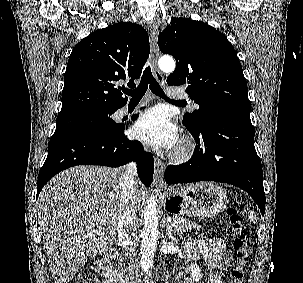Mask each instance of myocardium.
<instances>
[{
    "mask_svg": "<svg viewBox=\"0 0 303 283\" xmlns=\"http://www.w3.org/2000/svg\"><path fill=\"white\" fill-rule=\"evenodd\" d=\"M193 143L190 140L183 141L173 152L172 159L177 163L187 161L193 153Z\"/></svg>",
    "mask_w": 303,
    "mask_h": 283,
    "instance_id": "1",
    "label": "myocardium"
}]
</instances>
